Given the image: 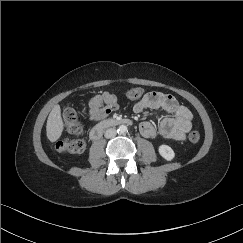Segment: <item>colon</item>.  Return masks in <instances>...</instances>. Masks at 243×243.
<instances>
[{"instance_id": "5ec220e1", "label": "colon", "mask_w": 243, "mask_h": 243, "mask_svg": "<svg viewBox=\"0 0 243 243\" xmlns=\"http://www.w3.org/2000/svg\"><path fill=\"white\" fill-rule=\"evenodd\" d=\"M143 93L142 88L135 87L127 91L126 96L128 99L135 101L141 98ZM63 122L67 129L76 135L82 133V118L72 108H65L62 113ZM189 140L191 142H198L200 140V133L192 131L189 134ZM55 148L59 151H68L71 153H81L85 149V141L81 138L69 139L62 138L55 143Z\"/></svg>"}]
</instances>
